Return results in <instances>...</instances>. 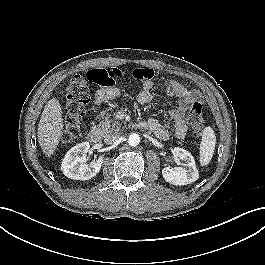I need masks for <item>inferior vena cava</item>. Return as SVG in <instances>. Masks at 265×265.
Listing matches in <instances>:
<instances>
[{
  "label": "inferior vena cava",
  "instance_id": "602c4592",
  "mask_svg": "<svg viewBox=\"0 0 265 265\" xmlns=\"http://www.w3.org/2000/svg\"><path fill=\"white\" fill-rule=\"evenodd\" d=\"M121 138V135L120 134H112V135H108L104 141L107 143V144H114V143H117Z\"/></svg>",
  "mask_w": 265,
  "mask_h": 265
}]
</instances>
